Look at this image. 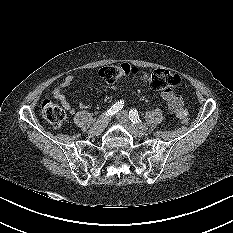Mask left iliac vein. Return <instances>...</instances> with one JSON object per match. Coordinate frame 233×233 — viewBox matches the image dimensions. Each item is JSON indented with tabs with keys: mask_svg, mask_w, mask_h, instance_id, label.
<instances>
[{
	"mask_svg": "<svg viewBox=\"0 0 233 233\" xmlns=\"http://www.w3.org/2000/svg\"><path fill=\"white\" fill-rule=\"evenodd\" d=\"M117 118L134 137L141 138L146 135L144 131L130 122L126 111L118 113Z\"/></svg>",
	"mask_w": 233,
	"mask_h": 233,
	"instance_id": "1",
	"label": "left iliac vein"
}]
</instances>
